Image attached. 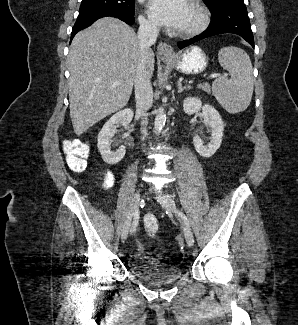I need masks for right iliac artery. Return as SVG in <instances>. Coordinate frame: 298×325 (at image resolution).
Returning a JSON list of instances; mask_svg holds the SVG:
<instances>
[{
	"instance_id": "82829eb1",
	"label": "right iliac artery",
	"mask_w": 298,
	"mask_h": 325,
	"mask_svg": "<svg viewBox=\"0 0 298 325\" xmlns=\"http://www.w3.org/2000/svg\"><path fill=\"white\" fill-rule=\"evenodd\" d=\"M138 222H139V211L136 210L135 214H134V219H133V223L130 229V232L133 233L135 232L137 226H138Z\"/></svg>"
}]
</instances>
